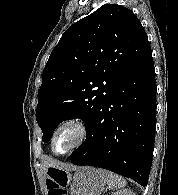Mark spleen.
Returning a JSON list of instances; mask_svg holds the SVG:
<instances>
[{
  "label": "spleen",
  "instance_id": "3e777b00",
  "mask_svg": "<svg viewBox=\"0 0 178 195\" xmlns=\"http://www.w3.org/2000/svg\"><path fill=\"white\" fill-rule=\"evenodd\" d=\"M99 172L104 177V180L106 184L109 186V188L120 189L126 186V181L121 176L101 169H99Z\"/></svg>",
  "mask_w": 178,
  "mask_h": 195
}]
</instances>
